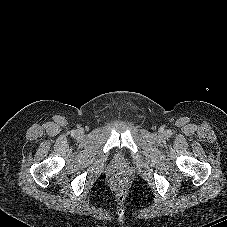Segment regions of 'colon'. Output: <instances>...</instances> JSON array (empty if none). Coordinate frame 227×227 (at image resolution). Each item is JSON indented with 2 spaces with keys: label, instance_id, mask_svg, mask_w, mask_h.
<instances>
[{
  "label": "colon",
  "instance_id": "1",
  "mask_svg": "<svg viewBox=\"0 0 227 227\" xmlns=\"http://www.w3.org/2000/svg\"><path fill=\"white\" fill-rule=\"evenodd\" d=\"M110 187L116 196L123 197L128 192V177L123 173L114 174L110 179Z\"/></svg>",
  "mask_w": 227,
  "mask_h": 227
}]
</instances>
